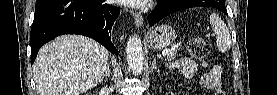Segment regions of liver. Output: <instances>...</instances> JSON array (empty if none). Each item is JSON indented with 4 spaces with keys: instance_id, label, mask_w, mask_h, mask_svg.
Masks as SVG:
<instances>
[{
    "instance_id": "6515ba94",
    "label": "liver",
    "mask_w": 277,
    "mask_h": 95,
    "mask_svg": "<svg viewBox=\"0 0 277 95\" xmlns=\"http://www.w3.org/2000/svg\"><path fill=\"white\" fill-rule=\"evenodd\" d=\"M109 52L79 35H63L45 44L33 65L39 95H81L94 88L108 65Z\"/></svg>"
}]
</instances>
